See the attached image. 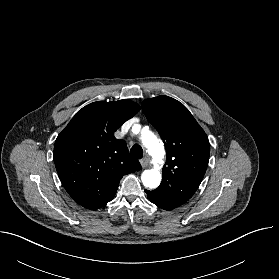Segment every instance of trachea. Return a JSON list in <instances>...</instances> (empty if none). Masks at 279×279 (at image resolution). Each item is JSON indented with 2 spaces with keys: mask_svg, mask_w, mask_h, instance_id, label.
<instances>
[{
  "mask_svg": "<svg viewBox=\"0 0 279 279\" xmlns=\"http://www.w3.org/2000/svg\"><path fill=\"white\" fill-rule=\"evenodd\" d=\"M130 154L133 158L141 159L143 157V149L140 145H134L131 150Z\"/></svg>",
  "mask_w": 279,
  "mask_h": 279,
  "instance_id": "obj_1",
  "label": "trachea"
}]
</instances>
